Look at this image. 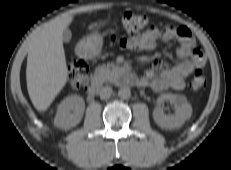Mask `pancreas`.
<instances>
[{"mask_svg":"<svg viewBox=\"0 0 231 170\" xmlns=\"http://www.w3.org/2000/svg\"><path fill=\"white\" fill-rule=\"evenodd\" d=\"M117 70L118 67L113 63L103 64L95 69L94 78L102 81H110L115 77Z\"/></svg>","mask_w":231,"mask_h":170,"instance_id":"cf45deb5","label":"pancreas"}]
</instances>
